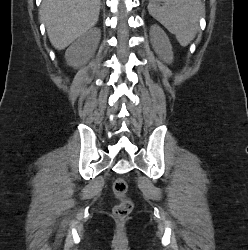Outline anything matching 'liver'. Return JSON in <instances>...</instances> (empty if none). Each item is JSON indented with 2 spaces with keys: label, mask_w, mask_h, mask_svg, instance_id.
Instances as JSON below:
<instances>
[{
  "label": "liver",
  "mask_w": 248,
  "mask_h": 250,
  "mask_svg": "<svg viewBox=\"0 0 248 250\" xmlns=\"http://www.w3.org/2000/svg\"><path fill=\"white\" fill-rule=\"evenodd\" d=\"M100 0H43L40 16L51 44L63 50L98 21Z\"/></svg>",
  "instance_id": "6515ba94"
}]
</instances>
